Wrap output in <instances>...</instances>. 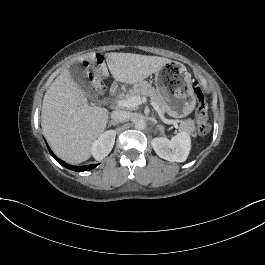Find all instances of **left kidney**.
Here are the masks:
<instances>
[{
    "label": "left kidney",
    "instance_id": "left-kidney-1",
    "mask_svg": "<svg viewBox=\"0 0 265 265\" xmlns=\"http://www.w3.org/2000/svg\"><path fill=\"white\" fill-rule=\"evenodd\" d=\"M152 148L162 159L170 162H184L188 155L189 132L181 130V135L174 137L171 141L166 138L152 140Z\"/></svg>",
    "mask_w": 265,
    "mask_h": 265
}]
</instances>
